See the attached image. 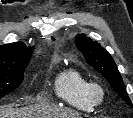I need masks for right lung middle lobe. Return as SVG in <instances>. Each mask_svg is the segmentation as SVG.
Segmentation results:
<instances>
[{
  "instance_id": "dd1d6c3e",
  "label": "right lung middle lobe",
  "mask_w": 133,
  "mask_h": 118,
  "mask_svg": "<svg viewBox=\"0 0 133 118\" xmlns=\"http://www.w3.org/2000/svg\"><path fill=\"white\" fill-rule=\"evenodd\" d=\"M27 65L21 64L11 68L0 67V99L21 85Z\"/></svg>"
}]
</instances>
